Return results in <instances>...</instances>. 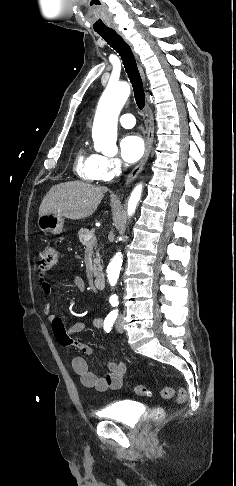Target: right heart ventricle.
<instances>
[{
  "mask_svg": "<svg viewBox=\"0 0 236 486\" xmlns=\"http://www.w3.org/2000/svg\"><path fill=\"white\" fill-rule=\"evenodd\" d=\"M96 155L88 153L83 146L77 150L74 159V171L81 179L86 181L97 180L95 177Z\"/></svg>",
  "mask_w": 236,
  "mask_h": 486,
  "instance_id": "right-heart-ventricle-1",
  "label": "right heart ventricle"
}]
</instances>
